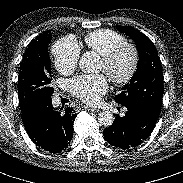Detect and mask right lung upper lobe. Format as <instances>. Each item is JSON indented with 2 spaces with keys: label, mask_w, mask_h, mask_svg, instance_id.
Segmentation results:
<instances>
[{
  "label": "right lung upper lobe",
  "mask_w": 183,
  "mask_h": 183,
  "mask_svg": "<svg viewBox=\"0 0 183 183\" xmlns=\"http://www.w3.org/2000/svg\"><path fill=\"white\" fill-rule=\"evenodd\" d=\"M48 34H51V31H45L43 34H40L39 36H37L34 40H32L29 45L28 48L26 49L24 55H26L27 53H29L30 49L36 45L39 44L41 42V40ZM24 57V56H23Z\"/></svg>",
  "instance_id": "obj_1"
}]
</instances>
